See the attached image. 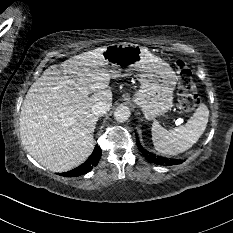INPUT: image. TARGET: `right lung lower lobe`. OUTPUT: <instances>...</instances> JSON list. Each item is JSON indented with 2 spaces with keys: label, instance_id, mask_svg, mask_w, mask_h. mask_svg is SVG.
<instances>
[{
  "label": "right lung lower lobe",
  "instance_id": "right-lung-lower-lobe-1",
  "mask_svg": "<svg viewBox=\"0 0 233 233\" xmlns=\"http://www.w3.org/2000/svg\"><path fill=\"white\" fill-rule=\"evenodd\" d=\"M101 149L99 146H96L93 153L90 155V157L87 159L85 163L80 165L79 167L65 173H61L60 175L65 177H76L83 174H86L87 172L91 171L93 167H95L100 158H101Z\"/></svg>",
  "mask_w": 233,
  "mask_h": 233
}]
</instances>
